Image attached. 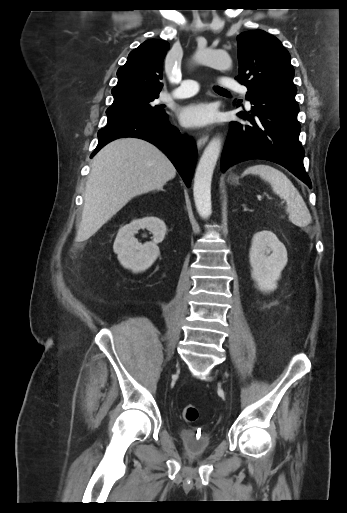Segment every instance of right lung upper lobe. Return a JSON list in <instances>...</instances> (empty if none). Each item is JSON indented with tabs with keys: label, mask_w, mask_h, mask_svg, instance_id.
Returning a JSON list of instances; mask_svg holds the SVG:
<instances>
[{
	"label": "right lung upper lobe",
	"mask_w": 347,
	"mask_h": 513,
	"mask_svg": "<svg viewBox=\"0 0 347 513\" xmlns=\"http://www.w3.org/2000/svg\"><path fill=\"white\" fill-rule=\"evenodd\" d=\"M169 43L150 39L130 52L127 62L118 69V83L112 89L114 102L143 96H159L163 87L162 62Z\"/></svg>",
	"instance_id": "right-lung-upper-lobe-1"
}]
</instances>
